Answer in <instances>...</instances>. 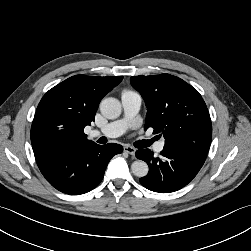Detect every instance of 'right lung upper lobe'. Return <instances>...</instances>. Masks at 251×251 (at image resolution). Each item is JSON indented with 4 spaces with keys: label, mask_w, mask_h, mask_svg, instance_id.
<instances>
[{
    "label": "right lung upper lobe",
    "mask_w": 251,
    "mask_h": 251,
    "mask_svg": "<svg viewBox=\"0 0 251 251\" xmlns=\"http://www.w3.org/2000/svg\"><path fill=\"white\" fill-rule=\"evenodd\" d=\"M122 79L76 75L50 89L38 104L31 127L34 154L93 143L84 127L94 121L100 101Z\"/></svg>",
    "instance_id": "1"
}]
</instances>
